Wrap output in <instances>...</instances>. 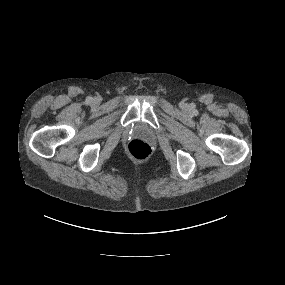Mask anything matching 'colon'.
I'll list each match as a JSON object with an SVG mask.
<instances>
[{"label": "colon", "instance_id": "obj_1", "mask_svg": "<svg viewBox=\"0 0 285 285\" xmlns=\"http://www.w3.org/2000/svg\"><path fill=\"white\" fill-rule=\"evenodd\" d=\"M128 151L134 159L145 160L151 154V147L147 142L135 139L129 143Z\"/></svg>", "mask_w": 285, "mask_h": 285}]
</instances>
